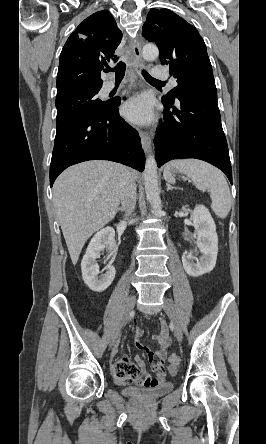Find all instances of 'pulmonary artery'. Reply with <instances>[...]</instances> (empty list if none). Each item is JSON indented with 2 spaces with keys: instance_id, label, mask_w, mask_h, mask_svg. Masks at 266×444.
<instances>
[{
  "instance_id": "pulmonary-artery-1",
  "label": "pulmonary artery",
  "mask_w": 266,
  "mask_h": 444,
  "mask_svg": "<svg viewBox=\"0 0 266 444\" xmlns=\"http://www.w3.org/2000/svg\"><path fill=\"white\" fill-rule=\"evenodd\" d=\"M151 74L156 79L168 80L172 87L176 86V81L174 79L169 78V74L166 71V68L164 66H154L151 69ZM115 88H116V86L114 85V83L110 82V83H107V85H106L107 92H110Z\"/></svg>"
}]
</instances>
